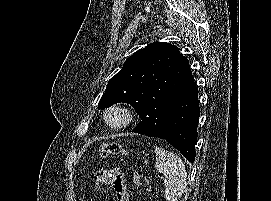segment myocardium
Wrapping results in <instances>:
<instances>
[{
  "label": "myocardium",
  "mask_w": 271,
  "mask_h": 201,
  "mask_svg": "<svg viewBox=\"0 0 271 201\" xmlns=\"http://www.w3.org/2000/svg\"><path fill=\"white\" fill-rule=\"evenodd\" d=\"M113 113H117L121 115L122 120L118 124H113L110 122V115ZM133 113L130 110V108L124 104H113L110 107H108L104 112V122L105 124L115 130L123 129L127 126H129L133 121Z\"/></svg>",
  "instance_id": "myocardium-1"
}]
</instances>
